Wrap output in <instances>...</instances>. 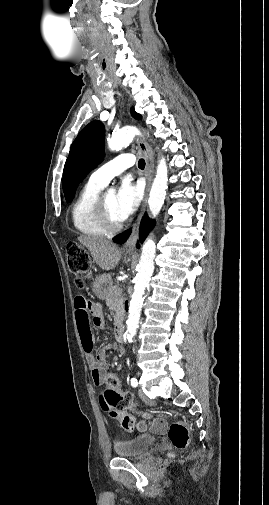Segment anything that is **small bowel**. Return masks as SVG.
I'll use <instances>...</instances> for the list:
<instances>
[{"label": "small bowel", "mask_w": 269, "mask_h": 505, "mask_svg": "<svg viewBox=\"0 0 269 505\" xmlns=\"http://www.w3.org/2000/svg\"><path fill=\"white\" fill-rule=\"evenodd\" d=\"M82 297L84 296H78L75 299L78 331L82 346L91 364L92 379L96 385H101L108 373L106 350H101L96 354L93 352L94 336L92 333V325L100 330H105L107 325L102 316L101 307L93 303L92 298ZM137 428L140 431L150 429L155 433L162 434L166 431L167 421L162 417L150 421L141 420L137 424Z\"/></svg>", "instance_id": "1"}]
</instances>
